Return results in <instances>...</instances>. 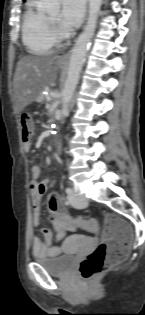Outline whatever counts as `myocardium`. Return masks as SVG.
I'll list each match as a JSON object with an SVG mask.
<instances>
[{
	"label": "myocardium",
	"instance_id": "myocardium-1",
	"mask_svg": "<svg viewBox=\"0 0 145 315\" xmlns=\"http://www.w3.org/2000/svg\"><path fill=\"white\" fill-rule=\"evenodd\" d=\"M47 23L49 26V30L51 32V35L55 42H61L67 37L66 32L63 30V28L60 26V24L54 22L51 20L49 16H47Z\"/></svg>",
	"mask_w": 145,
	"mask_h": 315
}]
</instances>
